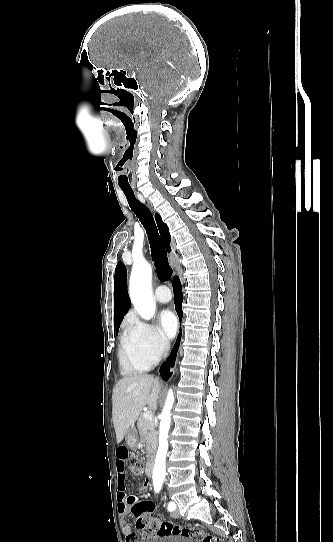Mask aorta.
<instances>
[{"instance_id": "obj_1", "label": "aorta", "mask_w": 333, "mask_h": 542, "mask_svg": "<svg viewBox=\"0 0 333 542\" xmlns=\"http://www.w3.org/2000/svg\"><path fill=\"white\" fill-rule=\"evenodd\" d=\"M152 270L150 264H142L140 268L133 266L129 294L130 300L143 320H151L156 312V304L152 294ZM174 404L172 390H169L165 406L160 414L159 448L154 464L152 482L154 488H161L166 474V456L168 452L167 436L171 424V410Z\"/></svg>"}]
</instances>
